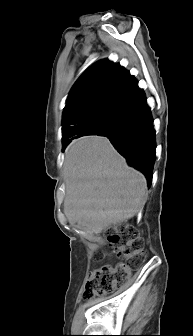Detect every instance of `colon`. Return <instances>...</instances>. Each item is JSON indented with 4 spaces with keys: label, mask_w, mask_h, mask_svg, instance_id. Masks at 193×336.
<instances>
[{
    "label": "colon",
    "mask_w": 193,
    "mask_h": 336,
    "mask_svg": "<svg viewBox=\"0 0 193 336\" xmlns=\"http://www.w3.org/2000/svg\"><path fill=\"white\" fill-rule=\"evenodd\" d=\"M108 242L111 251L122 262L104 265L90 273L83 292L85 301H90L125 284L132 269L138 267L146 257L142 240L133 230L123 225L108 236Z\"/></svg>",
    "instance_id": "colon-1"
}]
</instances>
